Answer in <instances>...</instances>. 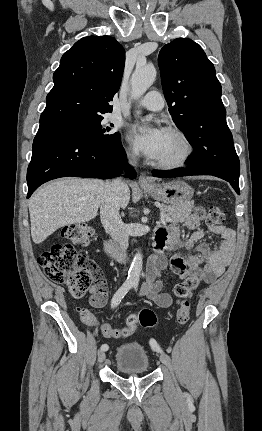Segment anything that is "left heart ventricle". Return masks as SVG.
Listing matches in <instances>:
<instances>
[{
	"label": "left heart ventricle",
	"instance_id": "b2bd125f",
	"mask_svg": "<svg viewBox=\"0 0 262 431\" xmlns=\"http://www.w3.org/2000/svg\"><path fill=\"white\" fill-rule=\"evenodd\" d=\"M181 151V145L172 135L166 133L161 151L156 158L157 161L171 160L178 156Z\"/></svg>",
	"mask_w": 262,
	"mask_h": 431
}]
</instances>
